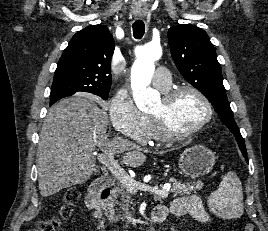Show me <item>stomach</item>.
Instances as JSON below:
<instances>
[{
	"mask_svg": "<svg viewBox=\"0 0 268 231\" xmlns=\"http://www.w3.org/2000/svg\"><path fill=\"white\" fill-rule=\"evenodd\" d=\"M214 153L202 145H194L185 149L179 158L181 173L190 178H198L208 174L215 164Z\"/></svg>",
	"mask_w": 268,
	"mask_h": 231,
	"instance_id": "stomach-1",
	"label": "stomach"
}]
</instances>
